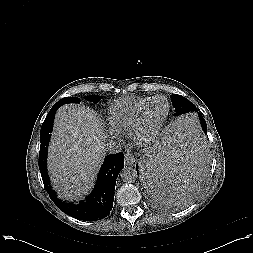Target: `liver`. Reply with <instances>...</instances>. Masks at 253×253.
Returning a JSON list of instances; mask_svg holds the SVG:
<instances>
[{
	"label": "liver",
	"instance_id": "6515ba94",
	"mask_svg": "<svg viewBox=\"0 0 253 253\" xmlns=\"http://www.w3.org/2000/svg\"><path fill=\"white\" fill-rule=\"evenodd\" d=\"M106 135L89 107L69 104L56 113L48 171L62 198H83L92 189L105 155Z\"/></svg>",
	"mask_w": 253,
	"mask_h": 253
}]
</instances>
